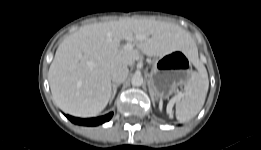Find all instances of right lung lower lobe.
Masks as SVG:
<instances>
[{
	"label": "right lung lower lobe",
	"mask_w": 261,
	"mask_h": 150,
	"mask_svg": "<svg viewBox=\"0 0 261 150\" xmlns=\"http://www.w3.org/2000/svg\"><path fill=\"white\" fill-rule=\"evenodd\" d=\"M113 116V113H109L108 115L97 117V118H88V119H80V118H75L72 116L67 115V118L78 125H84V126H97L100 124H103L106 121H109L111 117Z\"/></svg>",
	"instance_id": "1"
}]
</instances>
